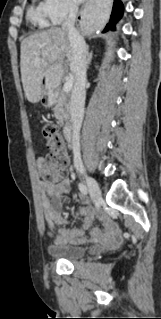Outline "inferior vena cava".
Here are the masks:
<instances>
[{"mask_svg": "<svg viewBox=\"0 0 161 319\" xmlns=\"http://www.w3.org/2000/svg\"><path fill=\"white\" fill-rule=\"evenodd\" d=\"M69 13L62 24V29L68 33L72 51L71 71L75 78L70 98V116L72 121V149L73 161L76 169H83L80 153V129L84 116L85 84L87 69V46L76 30L74 24L78 13V6L69 4Z\"/></svg>", "mask_w": 161, "mask_h": 319, "instance_id": "1", "label": "inferior vena cava"}]
</instances>
